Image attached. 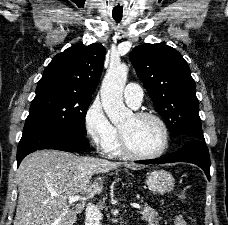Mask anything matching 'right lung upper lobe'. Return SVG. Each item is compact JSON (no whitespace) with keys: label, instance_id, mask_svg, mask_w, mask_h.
I'll list each match as a JSON object with an SVG mask.
<instances>
[{"label":"right lung upper lobe","instance_id":"1","mask_svg":"<svg viewBox=\"0 0 228 225\" xmlns=\"http://www.w3.org/2000/svg\"><path fill=\"white\" fill-rule=\"evenodd\" d=\"M105 48L95 43H77L57 54L45 68L38 86L57 85L92 95L99 83Z\"/></svg>","mask_w":228,"mask_h":225}]
</instances>
